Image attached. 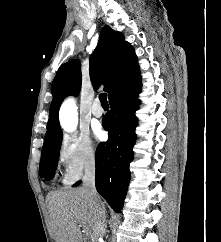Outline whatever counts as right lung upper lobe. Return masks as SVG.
<instances>
[{"label":"right lung upper lobe","instance_id":"1","mask_svg":"<svg viewBox=\"0 0 221 242\" xmlns=\"http://www.w3.org/2000/svg\"><path fill=\"white\" fill-rule=\"evenodd\" d=\"M89 71L94 88L104 84L108 98L124 80L139 73L135 51L122 33L109 26L103 27L98 45L90 57ZM81 82L79 60H70L58 69L52 83L53 100L44 139L62 133L58 120L60 105L65 97L79 94Z\"/></svg>","mask_w":221,"mask_h":242}]
</instances>
